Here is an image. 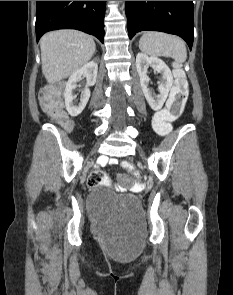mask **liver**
I'll return each mask as SVG.
<instances>
[{"mask_svg":"<svg viewBox=\"0 0 233 295\" xmlns=\"http://www.w3.org/2000/svg\"><path fill=\"white\" fill-rule=\"evenodd\" d=\"M42 73L48 83H56L77 71L95 53L91 36L77 30L48 32L40 40Z\"/></svg>","mask_w":233,"mask_h":295,"instance_id":"1","label":"liver"}]
</instances>
